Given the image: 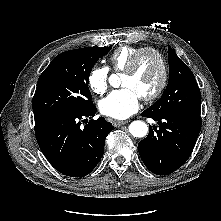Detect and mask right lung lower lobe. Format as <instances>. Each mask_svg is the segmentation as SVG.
I'll return each instance as SVG.
<instances>
[{"mask_svg":"<svg viewBox=\"0 0 221 221\" xmlns=\"http://www.w3.org/2000/svg\"><path fill=\"white\" fill-rule=\"evenodd\" d=\"M97 109L94 105L85 112L60 113L35 119L38 145L53 167L70 177L88 175L104 153L106 136L112 124L103 117L91 119ZM89 117L84 127L80 120Z\"/></svg>","mask_w":221,"mask_h":221,"instance_id":"obj_1","label":"right lung lower lobe"}]
</instances>
